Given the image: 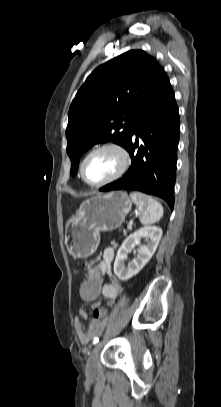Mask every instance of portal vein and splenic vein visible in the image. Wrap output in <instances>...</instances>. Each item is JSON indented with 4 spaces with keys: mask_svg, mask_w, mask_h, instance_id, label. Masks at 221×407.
Here are the masks:
<instances>
[{
    "mask_svg": "<svg viewBox=\"0 0 221 407\" xmlns=\"http://www.w3.org/2000/svg\"><path fill=\"white\" fill-rule=\"evenodd\" d=\"M127 227L128 229H132V223L130 222Z\"/></svg>",
    "mask_w": 221,
    "mask_h": 407,
    "instance_id": "portal-vein-and-splenic-vein-1",
    "label": "portal vein and splenic vein"
}]
</instances>
